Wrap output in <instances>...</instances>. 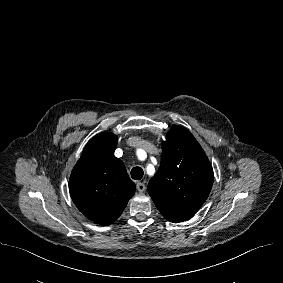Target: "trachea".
Returning <instances> with one entry per match:
<instances>
[{
  "label": "trachea",
  "mask_w": 283,
  "mask_h": 283,
  "mask_svg": "<svg viewBox=\"0 0 283 283\" xmlns=\"http://www.w3.org/2000/svg\"><path fill=\"white\" fill-rule=\"evenodd\" d=\"M143 169L141 167H134L132 168L131 170V177L134 179V180H140L142 179L143 177Z\"/></svg>",
  "instance_id": "1"
}]
</instances>
